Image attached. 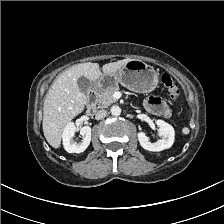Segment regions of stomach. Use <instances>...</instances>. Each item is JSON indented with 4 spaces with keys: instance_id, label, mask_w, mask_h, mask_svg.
I'll return each mask as SVG.
<instances>
[{
    "instance_id": "1",
    "label": "stomach",
    "mask_w": 224,
    "mask_h": 224,
    "mask_svg": "<svg viewBox=\"0 0 224 224\" xmlns=\"http://www.w3.org/2000/svg\"><path fill=\"white\" fill-rule=\"evenodd\" d=\"M158 82L159 75L154 67L141 60L131 59L116 72L103 74L95 85L102 90L121 84L135 92L149 93L157 87Z\"/></svg>"
}]
</instances>
